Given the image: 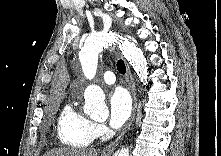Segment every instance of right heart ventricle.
<instances>
[{"instance_id": "right-heart-ventricle-1", "label": "right heart ventricle", "mask_w": 221, "mask_h": 156, "mask_svg": "<svg viewBox=\"0 0 221 156\" xmlns=\"http://www.w3.org/2000/svg\"><path fill=\"white\" fill-rule=\"evenodd\" d=\"M90 124L91 121L78 112L72 104H66L59 114L57 123L60 142L72 148L88 146L93 140Z\"/></svg>"}]
</instances>
